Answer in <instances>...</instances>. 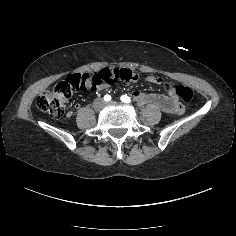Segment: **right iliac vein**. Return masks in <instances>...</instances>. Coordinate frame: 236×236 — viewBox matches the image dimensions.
Here are the masks:
<instances>
[{
  "mask_svg": "<svg viewBox=\"0 0 236 236\" xmlns=\"http://www.w3.org/2000/svg\"><path fill=\"white\" fill-rule=\"evenodd\" d=\"M105 105L104 101L102 99H99L97 102H96V107H98L99 109L103 108Z\"/></svg>",
  "mask_w": 236,
  "mask_h": 236,
  "instance_id": "1",
  "label": "right iliac vein"
}]
</instances>
